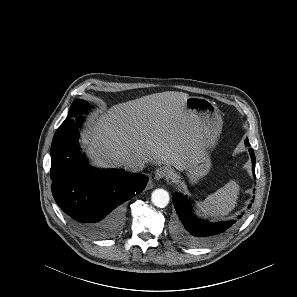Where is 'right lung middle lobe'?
I'll list each match as a JSON object with an SVG mask.
<instances>
[{"label":"right lung middle lobe","instance_id":"right-lung-middle-lobe-1","mask_svg":"<svg viewBox=\"0 0 297 297\" xmlns=\"http://www.w3.org/2000/svg\"><path fill=\"white\" fill-rule=\"evenodd\" d=\"M90 108L91 106L85 100L78 99L74 101L70 107L68 116L64 122L70 119H76L77 117L81 116L83 113H86Z\"/></svg>","mask_w":297,"mask_h":297}]
</instances>
